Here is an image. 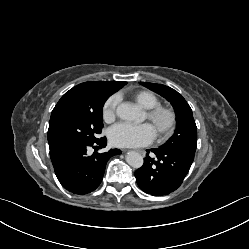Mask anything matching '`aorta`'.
Wrapping results in <instances>:
<instances>
[{
    "mask_svg": "<svg viewBox=\"0 0 249 249\" xmlns=\"http://www.w3.org/2000/svg\"><path fill=\"white\" fill-rule=\"evenodd\" d=\"M116 114L122 120L133 121L137 118L138 108L129 103H122L117 107ZM126 162L137 169L143 165V157L135 151H130L126 155Z\"/></svg>",
    "mask_w": 249,
    "mask_h": 249,
    "instance_id": "762f6f07",
    "label": "aorta"
}]
</instances>
